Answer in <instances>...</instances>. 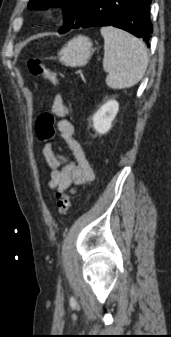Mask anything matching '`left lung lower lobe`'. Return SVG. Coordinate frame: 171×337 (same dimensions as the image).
I'll use <instances>...</instances> for the list:
<instances>
[{"mask_svg": "<svg viewBox=\"0 0 171 337\" xmlns=\"http://www.w3.org/2000/svg\"><path fill=\"white\" fill-rule=\"evenodd\" d=\"M150 4L151 0H86L71 29L111 25L143 38L149 47Z\"/></svg>", "mask_w": 171, "mask_h": 337, "instance_id": "0a47b994", "label": "left lung lower lobe"}]
</instances>
